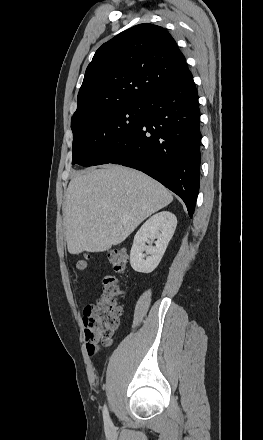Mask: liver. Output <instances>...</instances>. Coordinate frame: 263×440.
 <instances>
[{
	"instance_id": "6515ba94",
	"label": "liver",
	"mask_w": 263,
	"mask_h": 440,
	"mask_svg": "<svg viewBox=\"0 0 263 440\" xmlns=\"http://www.w3.org/2000/svg\"><path fill=\"white\" fill-rule=\"evenodd\" d=\"M172 200L160 183L127 167L107 165L75 173L63 211L69 253L109 250Z\"/></svg>"
}]
</instances>
